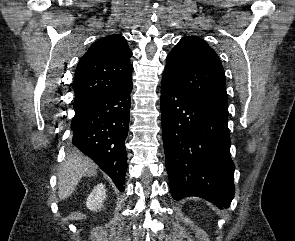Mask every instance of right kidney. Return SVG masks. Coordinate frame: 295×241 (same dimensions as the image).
I'll return each instance as SVG.
<instances>
[{
	"mask_svg": "<svg viewBox=\"0 0 295 241\" xmlns=\"http://www.w3.org/2000/svg\"><path fill=\"white\" fill-rule=\"evenodd\" d=\"M106 198V189L103 184H98L87 198L86 205L90 210H99Z\"/></svg>",
	"mask_w": 295,
	"mask_h": 241,
	"instance_id": "1",
	"label": "right kidney"
}]
</instances>
